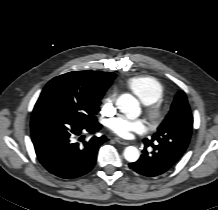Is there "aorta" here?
<instances>
[{"mask_svg":"<svg viewBox=\"0 0 218 210\" xmlns=\"http://www.w3.org/2000/svg\"><path fill=\"white\" fill-rule=\"evenodd\" d=\"M117 106L129 119L138 117L141 112L138 100L130 94H122L117 100ZM123 155L128 162H135L139 159L140 153L136 147L128 146Z\"/></svg>","mask_w":218,"mask_h":210,"instance_id":"1","label":"aorta"}]
</instances>
